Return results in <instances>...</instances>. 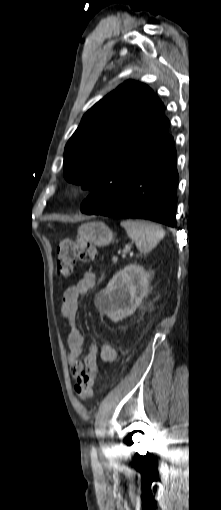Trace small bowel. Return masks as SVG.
<instances>
[{
  "instance_id": "c3829d8e",
  "label": "small bowel",
  "mask_w": 221,
  "mask_h": 510,
  "mask_svg": "<svg viewBox=\"0 0 221 510\" xmlns=\"http://www.w3.org/2000/svg\"><path fill=\"white\" fill-rule=\"evenodd\" d=\"M96 278L92 272H86L73 285L69 286L63 296L61 314L71 324L67 341L69 347V363L75 377L82 371L98 374L97 357L100 356L105 363H113L116 360V349L108 343L102 344L99 348L91 346L89 353L84 360L81 359L83 351L84 336L77 327V312L82 297L95 286Z\"/></svg>"
}]
</instances>
